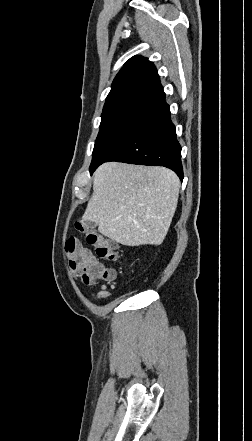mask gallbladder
Masks as SVG:
<instances>
[{"label":"gallbladder","instance_id":"1","mask_svg":"<svg viewBox=\"0 0 252 441\" xmlns=\"http://www.w3.org/2000/svg\"><path fill=\"white\" fill-rule=\"evenodd\" d=\"M85 225H86V227L89 228V229H95V228L97 227V223L92 222V221H86V222H85Z\"/></svg>","mask_w":252,"mask_h":441}]
</instances>
